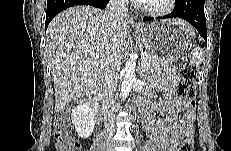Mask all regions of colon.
<instances>
[{
  "mask_svg": "<svg viewBox=\"0 0 231 151\" xmlns=\"http://www.w3.org/2000/svg\"><path fill=\"white\" fill-rule=\"evenodd\" d=\"M176 92L182 99L183 108L193 111L197 94L196 69L193 65L186 63L182 66ZM53 135L57 151H81L79 144L70 135L67 112H61L56 116ZM193 148V136H186L180 143L179 151H193Z\"/></svg>",
  "mask_w": 231,
  "mask_h": 151,
  "instance_id": "5ec220e1",
  "label": "colon"
}]
</instances>
